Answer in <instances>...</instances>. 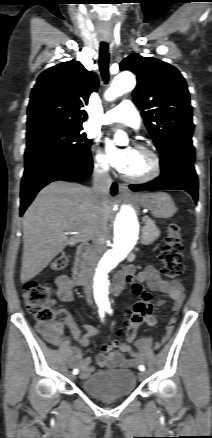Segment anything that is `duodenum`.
Returning a JSON list of instances; mask_svg holds the SVG:
<instances>
[{
    "label": "duodenum",
    "instance_id": "410a0bca",
    "mask_svg": "<svg viewBox=\"0 0 212 438\" xmlns=\"http://www.w3.org/2000/svg\"><path fill=\"white\" fill-rule=\"evenodd\" d=\"M88 253L89 245L87 243L81 244L77 249L73 267L74 281L77 285L83 284ZM116 288L120 289L121 285L116 284Z\"/></svg>",
    "mask_w": 212,
    "mask_h": 438
}]
</instances>
